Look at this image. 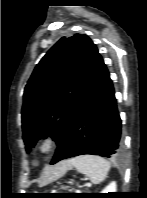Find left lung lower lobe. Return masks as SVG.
Segmentation results:
<instances>
[{
	"instance_id": "obj_1",
	"label": "left lung lower lobe",
	"mask_w": 147,
	"mask_h": 198,
	"mask_svg": "<svg viewBox=\"0 0 147 198\" xmlns=\"http://www.w3.org/2000/svg\"><path fill=\"white\" fill-rule=\"evenodd\" d=\"M121 151V119L114 88L99 54L91 84L58 143L51 164L83 154L109 158Z\"/></svg>"
}]
</instances>
